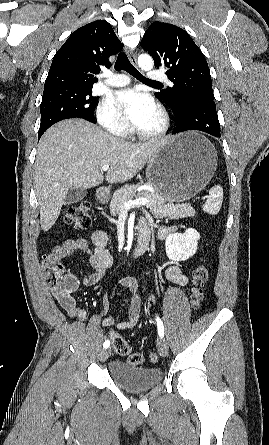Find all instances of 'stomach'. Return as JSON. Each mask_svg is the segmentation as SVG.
<instances>
[{"instance_id":"0dacf381","label":"stomach","mask_w":269,"mask_h":445,"mask_svg":"<svg viewBox=\"0 0 269 445\" xmlns=\"http://www.w3.org/2000/svg\"><path fill=\"white\" fill-rule=\"evenodd\" d=\"M217 168L213 145L196 132L169 138L147 162L146 177L157 194L170 202H184L198 194ZM99 201L106 202L104 195Z\"/></svg>"}]
</instances>
